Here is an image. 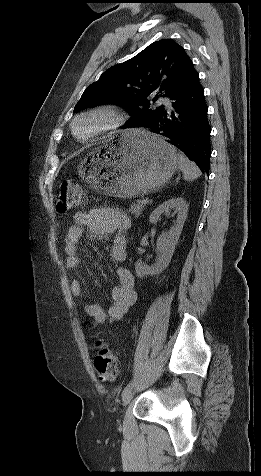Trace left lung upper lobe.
<instances>
[{
	"instance_id": "obj_1",
	"label": "left lung upper lobe",
	"mask_w": 261,
	"mask_h": 476,
	"mask_svg": "<svg viewBox=\"0 0 261 476\" xmlns=\"http://www.w3.org/2000/svg\"><path fill=\"white\" fill-rule=\"evenodd\" d=\"M193 69L184 49L170 39L150 44L130 60L112 66L98 81L89 85L74 108V113L99 104H116L130 118L121 128L141 127L158 116L155 108L160 93L170 97L177 92Z\"/></svg>"
}]
</instances>
